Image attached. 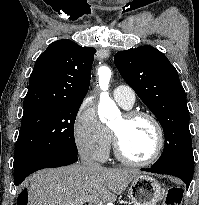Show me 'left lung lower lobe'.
<instances>
[{
  "label": "left lung lower lobe",
  "mask_w": 199,
  "mask_h": 205,
  "mask_svg": "<svg viewBox=\"0 0 199 205\" xmlns=\"http://www.w3.org/2000/svg\"><path fill=\"white\" fill-rule=\"evenodd\" d=\"M141 170L147 171V172H152V173L167 174V175L176 176L185 182V184L187 185V189L189 188V185L192 181V176H193L192 172L187 171L184 168L177 167V166H163V167L151 166V168L141 169Z\"/></svg>",
  "instance_id": "1"
}]
</instances>
